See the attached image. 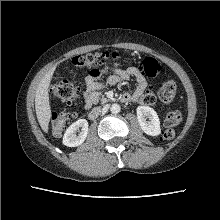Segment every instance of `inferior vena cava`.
I'll return each instance as SVG.
<instances>
[{
  "label": "inferior vena cava",
  "instance_id": "inferior-vena-cava-1",
  "mask_svg": "<svg viewBox=\"0 0 220 220\" xmlns=\"http://www.w3.org/2000/svg\"><path fill=\"white\" fill-rule=\"evenodd\" d=\"M106 111H107V107H104V108H94L93 109V112H95V113H99V114H104V113H106Z\"/></svg>",
  "mask_w": 220,
  "mask_h": 220
}]
</instances>
